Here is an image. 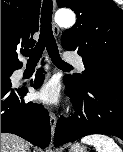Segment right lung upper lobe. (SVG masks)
<instances>
[{"mask_svg":"<svg viewBox=\"0 0 123 152\" xmlns=\"http://www.w3.org/2000/svg\"><path fill=\"white\" fill-rule=\"evenodd\" d=\"M40 5L41 0H1V68H21L16 50L34 46Z\"/></svg>","mask_w":123,"mask_h":152,"instance_id":"1","label":"right lung upper lobe"}]
</instances>
